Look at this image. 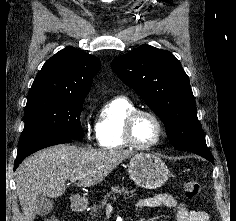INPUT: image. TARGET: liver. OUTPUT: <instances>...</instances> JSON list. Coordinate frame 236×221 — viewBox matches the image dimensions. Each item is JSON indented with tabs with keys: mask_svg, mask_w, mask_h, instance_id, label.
I'll return each instance as SVG.
<instances>
[{
	"mask_svg": "<svg viewBox=\"0 0 236 221\" xmlns=\"http://www.w3.org/2000/svg\"><path fill=\"white\" fill-rule=\"evenodd\" d=\"M132 155L129 150L58 145L30 156L16 171V188L24 221L35 219L40 195L50 198L63 195L66 181L73 177L78 178L79 187L94 186Z\"/></svg>",
	"mask_w": 236,
	"mask_h": 221,
	"instance_id": "6515ba94",
	"label": "liver"
}]
</instances>
